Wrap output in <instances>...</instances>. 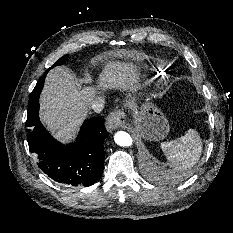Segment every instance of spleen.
Instances as JSON below:
<instances>
[{
  "mask_svg": "<svg viewBox=\"0 0 233 233\" xmlns=\"http://www.w3.org/2000/svg\"><path fill=\"white\" fill-rule=\"evenodd\" d=\"M162 151L173 166L171 177L187 174L198 162L202 152V142L198 132L189 129L184 136L161 143Z\"/></svg>",
  "mask_w": 233,
  "mask_h": 233,
  "instance_id": "obj_1",
  "label": "spleen"
}]
</instances>
